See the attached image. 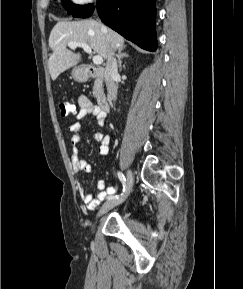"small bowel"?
Masks as SVG:
<instances>
[{"mask_svg": "<svg viewBox=\"0 0 243 289\" xmlns=\"http://www.w3.org/2000/svg\"><path fill=\"white\" fill-rule=\"evenodd\" d=\"M78 102L80 109L76 114L75 122L68 125V130L72 133L71 137V159L70 164L73 172L75 174L79 172L91 173L92 166L81 156L80 148L78 147V142L80 141V130L81 124L78 120L85 118L86 116H93L99 126H103L106 120V113L102 112L96 105H94L87 97L79 96ZM95 140L99 143V153L101 156L105 157L110 152L111 138L106 133H96ZM98 193L96 197H93L87 190L83 187L81 183H77V190L89 210H94L99 206L105 198L116 192L117 188L114 186H107L104 180H99L97 182Z\"/></svg>", "mask_w": 243, "mask_h": 289, "instance_id": "1", "label": "small bowel"}]
</instances>
